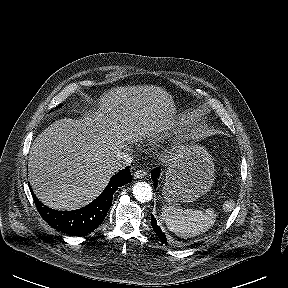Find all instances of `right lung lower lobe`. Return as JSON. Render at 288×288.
Wrapping results in <instances>:
<instances>
[{
  "mask_svg": "<svg viewBox=\"0 0 288 288\" xmlns=\"http://www.w3.org/2000/svg\"><path fill=\"white\" fill-rule=\"evenodd\" d=\"M131 181L130 169H123L111 178L105 190L93 202L81 209L66 212L48 208L38 201L33 192L32 195L37 210L51 227L71 236H82L95 230L104 221L114 192Z\"/></svg>",
  "mask_w": 288,
  "mask_h": 288,
  "instance_id": "obj_1",
  "label": "right lung lower lobe"
}]
</instances>
